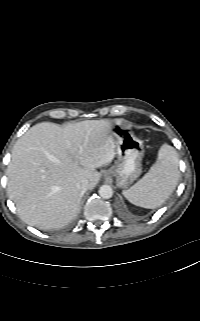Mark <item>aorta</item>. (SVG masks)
Returning <instances> with one entry per match:
<instances>
[{"label":"aorta","instance_id":"762f6f07","mask_svg":"<svg viewBox=\"0 0 200 321\" xmlns=\"http://www.w3.org/2000/svg\"><path fill=\"white\" fill-rule=\"evenodd\" d=\"M99 195L103 198V199H109L112 197L113 195V189L110 185H102L99 188Z\"/></svg>","mask_w":200,"mask_h":321}]
</instances>
